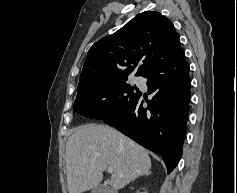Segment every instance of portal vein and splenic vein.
Returning a JSON list of instances; mask_svg holds the SVG:
<instances>
[{"mask_svg":"<svg viewBox=\"0 0 237 193\" xmlns=\"http://www.w3.org/2000/svg\"><path fill=\"white\" fill-rule=\"evenodd\" d=\"M107 170L109 173H113V168L109 167Z\"/></svg>","mask_w":237,"mask_h":193,"instance_id":"obj_1","label":"portal vein and splenic vein"}]
</instances>
